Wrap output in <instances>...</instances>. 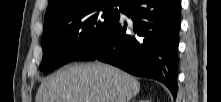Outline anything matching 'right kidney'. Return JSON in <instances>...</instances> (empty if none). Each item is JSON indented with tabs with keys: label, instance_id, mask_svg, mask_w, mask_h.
Instances as JSON below:
<instances>
[{
	"label": "right kidney",
	"instance_id": "ca27d5eb",
	"mask_svg": "<svg viewBox=\"0 0 221 102\" xmlns=\"http://www.w3.org/2000/svg\"><path fill=\"white\" fill-rule=\"evenodd\" d=\"M142 102H148V100L142 101Z\"/></svg>",
	"mask_w": 221,
	"mask_h": 102
}]
</instances>
